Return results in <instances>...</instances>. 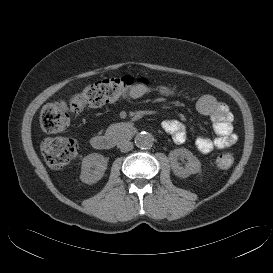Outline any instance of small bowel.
<instances>
[{
    "label": "small bowel",
    "mask_w": 273,
    "mask_h": 273,
    "mask_svg": "<svg viewBox=\"0 0 273 273\" xmlns=\"http://www.w3.org/2000/svg\"><path fill=\"white\" fill-rule=\"evenodd\" d=\"M156 90L160 94L173 97L177 90L172 86H160L157 89L149 87L135 88L132 98H140ZM197 111L211 118L215 135L212 137L199 135L195 144L199 152L208 154L215 149H223L233 146L237 142V136L232 132L233 116L226 104L219 102L212 95H203L196 102ZM164 131L170 134L176 144H182L187 137L186 126L178 120H166L162 123Z\"/></svg>",
    "instance_id": "small-bowel-1"
}]
</instances>
